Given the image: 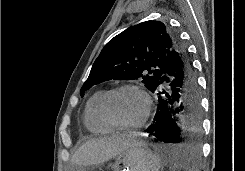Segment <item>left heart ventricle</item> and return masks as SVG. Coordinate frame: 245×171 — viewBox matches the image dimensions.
<instances>
[{"label":"left heart ventricle","instance_id":"1","mask_svg":"<svg viewBox=\"0 0 245 171\" xmlns=\"http://www.w3.org/2000/svg\"><path fill=\"white\" fill-rule=\"evenodd\" d=\"M112 116L122 124H135L145 111L143 96L136 90L127 89L112 96L109 102Z\"/></svg>","mask_w":245,"mask_h":171}]
</instances>
